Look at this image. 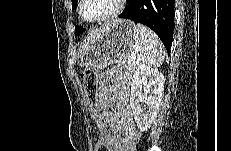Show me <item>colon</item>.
Masks as SVG:
<instances>
[{"instance_id":"1","label":"colon","mask_w":231,"mask_h":151,"mask_svg":"<svg viewBox=\"0 0 231 151\" xmlns=\"http://www.w3.org/2000/svg\"><path fill=\"white\" fill-rule=\"evenodd\" d=\"M83 85L85 90V96L89 105L92 116L95 120L99 141L96 146V151H109V147L104 139L105 122L102 117V110L99 103V97L97 93L98 88V75L97 71L90 68L83 73Z\"/></svg>"}]
</instances>
